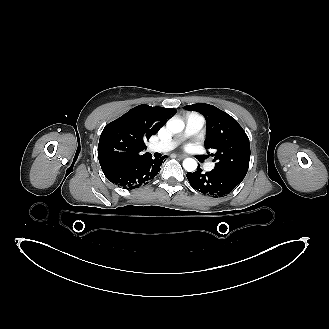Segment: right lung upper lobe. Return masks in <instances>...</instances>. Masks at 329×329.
<instances>
[{"instance_id":"obj_1","label":"right lung upper lobe","mask_w":329,"mask_h":329,"mask_svg":"<svg viewBox=\"0 0 329 329\" xmlns=\"http://www.w3.org/2000/svg\"><path fill=\"white\" fill-rule=\"evenodd\" d=\"M176 109L139 105L103 129L98 159L104 173L121 169L149 156L145 142L158 132Z\"/></svg>"}]
</instances>
